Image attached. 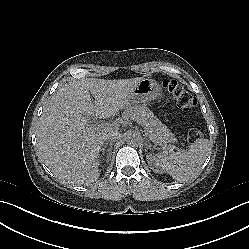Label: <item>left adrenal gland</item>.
<instances>
[{
    "label": "left adrenal gland",
    "mask_w": 249,
    "mask_h": 249,
    "mask_svg": "<svg viewBox=\"0 0 249 249\" xmlns=\"http://www.w3.org/2000/svg\"><path fill=\"white\" fill-rule=\"evenodd\" d=\"M148 144H149V145H148V147L150 148V147H151V144H150V142H149V141H148Z\"/></svg>",
    "instance_id": "left-adrenal-gland-1"
}]
</instances>
